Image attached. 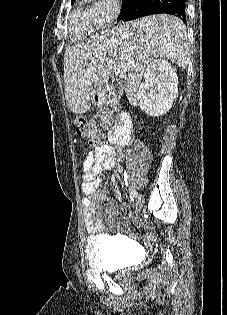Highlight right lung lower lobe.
<instances>
[{"label": "right lung lower lobe", "mask_w": 227, "mask_h": 315, "mask_svg": "<svg viewBox=\"0 0 227 315\" xmlns=\"http://www.w3.org/2000/svg\"><path fill=\"white\" fill-rule=\"evenodd\" d=\"M186 0H122L119 18L129 21L152 14H172L186 21Z\"/></svg>", "instance_id": "1"}]
</instances>
